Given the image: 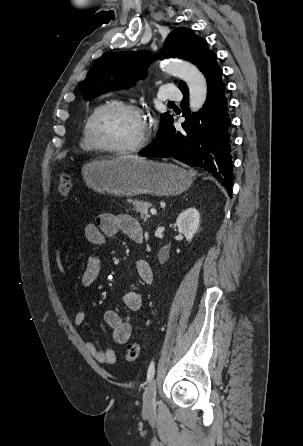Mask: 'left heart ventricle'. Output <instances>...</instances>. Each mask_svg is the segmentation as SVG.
<instances>
[{"label": "left heart ventricle", "instance_id": "obj_1", "mask_svg": "<svg viewBox=\"0 0 303 446\" xmlns=\"http://www.w3.org/2000/svg\"><path fill=\"white\" fill-rule=\"evenodd\" d=\"M144 129V122L137 115L120 110L102 114L95 127L98 139L110 146L122 147L136 142Z\"/></svg>", "mask_w": 303, "mask_h": 446}]
</instances>
